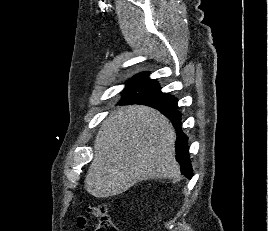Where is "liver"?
<instances>
[{"instance_id":"obj_1","label":"liver","mask_w":268,"mask_h":231,"mask_svg":"<svg viewBox=\"0 0 268 231\" xmlns=\"http://www.w3.org/2000/svg\"><path fill=\"white\" fill-rule=\"evenodd\" d=\"M175 141L172 124L156 109L119 107L96 134L94 158L84 181L87 192L107 198L143 180L178 179Z\"/></svg>"}]
</instances>
